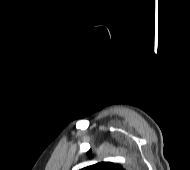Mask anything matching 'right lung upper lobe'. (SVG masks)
I'll use <instances>...</instances> for the list:
<instances>
[{
	"mask_svg": "<svg viewBox=\"0 0 190 170\" xmlns=\"http://www.w3.org/2000/svg\"><path fill=\"white\" fill-rule=\"evenodd\" d=\"M81 170H124L120 165L114 164L112 162H100Z\"/></svg>",
	"mask_w": 190,
	"mask_h": 170,
	"instance_id": "obj_1",
	"label": "right lung upper lobe"
}]
</instances>
